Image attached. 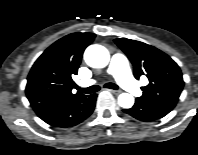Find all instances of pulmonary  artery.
<instances>
[{
  "label": "pulmonary artery",
  "instance_id": "1",
  "mask_svg": "<svg viewBox=\"0 0 198 155\" xmlns=\"http://www.w3.org/2000/svg\"><path fill=\"white\" fill-rule=\"evenodd\" d=\"M108 73L111 74L115 80L126 90L140 94V88L136 81L132 78L128 60L121 54H115L112 56L109 66ZM94 80L81 81L79 84L83 87L93 85Z\"/></svg>",
  "mask_w": 198,
  "mask_h": 155
}]
</instances>
